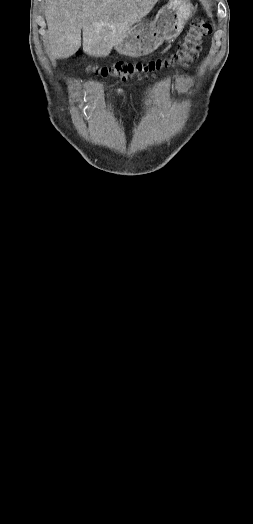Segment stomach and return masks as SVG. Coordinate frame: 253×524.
<instances>
[{
	"mask_svg": "<svg viewBox=\"0 0 253 524\" xmlns=\"http://www.w3.org/2000/svg\"><path fill=\"white\" fill-rule=\"evenodd\" d=\"M193 6L187 0H171L162 7L155 19L138 22L125 36L115 43V50L122 55L141 57L155 51L165 40L175 39L190 19Z\"/></svg>",
	"mask_w": 253,
	"mask_h": 524,
	"instance_id": "obj_1",
	"label": "stomach"
}]
</instances>
